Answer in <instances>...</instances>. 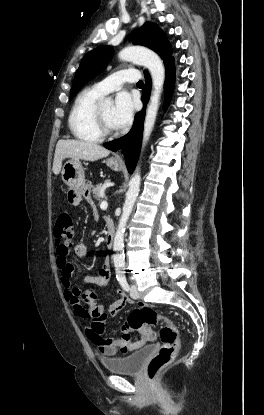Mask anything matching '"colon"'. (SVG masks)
<instances>
[{"label": "colon", "mask_w": 264, "mask_h": 415, "mask_svg": "<svg viewBox=\"0 0 264 415\" xmlns=\"http://www.w3.org/2000/svg\"><path fill=\"white\" fill-rule=\"evenodd\" d=\"M54 236L57 244L63 249H68L73 241V224L69 213H61L58 216L54 229ZM96 294L92 291L83 295L82 304L88 309V319L95 335L94 341L101 340V332L104 329L106 313L96 303ZM163 322L164 325L159 332L162 347L151 359L147 366V375L151 381L157 380L161 371L166 368L173 360L174 355L180 347V335L177 325L164 314L156 311L152 306L142 305L133 311L126 322L127 328L122 330L118 339L123 343H128L131 335L128 327L138 330L142 339L154 340L156 335L150 325L156 322Z\"/></svg>", "instance_id": "obj_1"}]
</instances>
